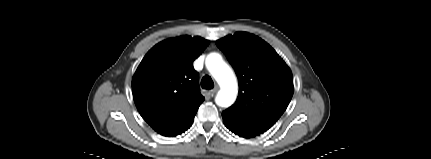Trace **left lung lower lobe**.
<instances>
[{"mask_svg":"<svg viewBox=\"0 0 431 159\" xmlns=\"http://www.w3.org/2000/svg\"><path fill=\"white\" fill-rule=\"evenodd\" d=\"M223 117V121L225 123V126L232 131L234 134L239 135L240 137L245 138H251L254 136H257L263 132H265L267 129L264 128H258V127H250L246 125H242L232 119H229L227 117Z\"/></svg>","mask_w":431,"mask_h":159,"instance_id":"0a47b994","label":"left lung lower lobe"}]
</instances>
